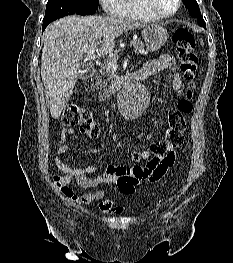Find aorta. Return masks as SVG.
Wrapping results in <instances>:
<instances>
[{"label":"aorta","instance_id":"762f6f07","mask_svg":"<svg viewBox=\"0 0 233 263\" xmlns=\"http://www.w3.org/2000/svg\"><path fill=\"white\" fill-rule=\"evenodd\" d=\"M147 101L146 89L137 82L127 83L121 93L120 105L130 118H137L144 111Z\"/></svg>","mask_w":233,"mask_h":263}]
</instances>
